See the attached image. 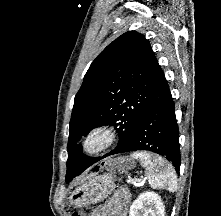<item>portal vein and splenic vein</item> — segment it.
I'll return each mask as SVG.
<instances>
[{
	"mask_svg": "<svg viewBox=\"0 0 221 216\" xmlns=\"http://www.w3.org/2000/svg\"><path fill=\"white\" fill-rule=\"evenodd\" d=\"M130 181L135 185V184H137L138 179H132V180H130Z\"/></svg>",
	"mask_w": 221,
	"mask_h": 216,
	"instance_id": "1",
	"label": "portal vein and splenic vein"
}]
</instances>
